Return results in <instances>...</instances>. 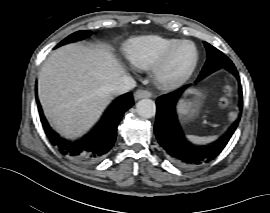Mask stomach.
<instances>
[{"label":"stomach","mask_w":270,"mask_h":213,"mask_svg":"<svg viewBox=\"0 0 270 213\" xmlns=\"http://www.w3.org/2000/svg\"><path fill=\"white\" fill-rule=\"evenodd\" d=\"M201 93L193 91L191 97L180 100L178 104V115L182 121L192 119L198 113Z\"/></svg>","instance_id":"obj_1"}]
</instances>
